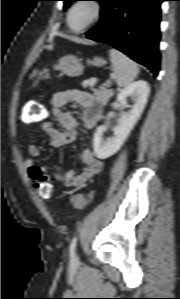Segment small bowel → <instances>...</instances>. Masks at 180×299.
Listing matches in <instances>:
<instances>
[{"label": "small bowel", "mask_w": 180, "mask_h": 299, "mask_svg": "<svg viewBox=\"0 0 180 299\" xmlns=\"http://www.w3.org/2000/svg\"><path fill=\"white\" fill-rule=\"evenodd\" d=\"M69 101H75L84 108L82 124L86 129H93L101 118L102 105L91 93L81 90L56 93L51 99L50 107L61 129L55 127L52 121H44L42 123L43 130L50 137V145L52 147H62L76 139L78 121L73 115L64 110L65 105ZM28 153L31 157H37L40 153L38 146L35 143H30ZM81 160L85 166L80 172L73 170L65 173L52 172L47 168L37 166L32 160H27L25 167L28 170L29 178L36 183L55 180L65 187H80L97 175L103 167V162L95 156L91 147L82 149Z\"/></svg>", "instance_id": "small-bowel-1"}]
</instances>
